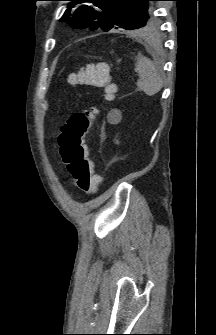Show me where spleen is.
<instances>
[{
    "label": "spleen",
    "mask_w": 216,
    "mask_h": 335,
    "mask_svg": "<svg viewBox=\"0 0 216 335\" xmlns=\"http://www.w3.org/2000/svg\"><path fill=\"white\" fill-rule=\"evenodd\" d=\"M135 72L138 74L137 87L148 96L158 93L163 81L160 73L150 59L142 55L136 57Z\"/></svg>",
    "instance_id": "obj_1"
}]
</instances>
